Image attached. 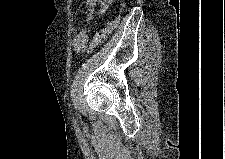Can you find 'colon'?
Masks as SVG:
<instances>
[{
  "instance_id": "colon-1",
  "label": "colon",
  "mask_w": 225,
  "mask_h": 159,
  "mask_svg": "<svg viewBox=\"0 0 225 159\" xmlns=\"http://www.w3.org/2000/svg\"><path fill=\"white\" fill-rule=\"evenodd\" d=\"M123 10L124 8L119 11L118 15L113 20L109 21L95 34L89 45L86 47L88 53L92 52L114 30L121 18Z\"/></svg>"
}]
</instances>
